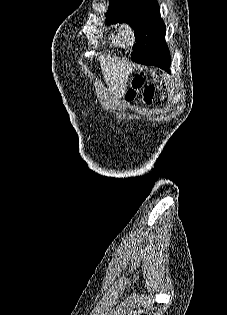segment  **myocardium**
<instances>
[{"label":"myocardium","mask_w":227,"mask_h":315,"mask_svg":"<svg viewBox=\"0 0 227 315\" xmlns=\"http://www.w3.org/2000/svg\"><path fill=\"white\" fill-rule=\"evenodd\" d=\"M119 40L123 47H133L137 42L134 28L129 24H123L119 29Z\"/></svg>","instance_id":"1"}]
</instances>
